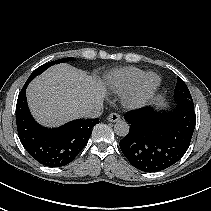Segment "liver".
<instances>
[{
	"label": "liver",
	"mask_w": 211,
	"mask_h": 211,
	"mask_svg": "<svg viewBox=\"0 0 211 211\" xmlns=\"http://www.w3.org/2000/svg\"><path fill=\"white\" fill-rule=\"evenodd\" d=\"M105 95L100 81L68 64L52 66L27 89L32 115L49 127L82 118L83 112L93 104L102 103Z\"/></svg>",
	"instance_id": "6515ba94"
}]
</instances>
